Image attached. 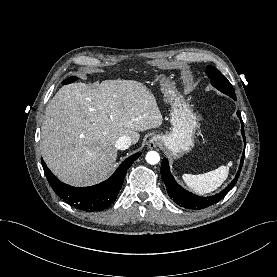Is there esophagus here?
I'll return each mask as SVG.
<instances>
[{
  "label": "esophagus",
  "instance_id": "esophagus-1",
  "mask_svg": "<svg viewBox=\"0 0 277 277\" xmlns=\"http://www.w3.org/2000/svg\"><path fill=\"white\" fill-rule=\"evenodd\" d=\"M160 144L159 140L156 139L155 137L149 139L148 141V147L149 148H155Z\"/></svg>",
  "mask_w": 277,
  "mask_h": 277
}]
</instances>
